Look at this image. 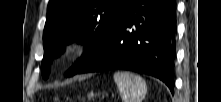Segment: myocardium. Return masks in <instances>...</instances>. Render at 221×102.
Wrapping results in <instances>:
<instances>
[{
  "mask_svg": "<svg viewBox=\"0 0 221 102\" xmlns=\"http://www.w3.org/2000/svg\"><path fill=\"white\" fill-rule=\"evenodd\" d=\"M89 48V42L82 37H75L69 40L65 46V53L70 58H79Z\"/></svg>",
  "mask_w": 221,
  "mask_h": 102,
  "instance_id": "1",
  "label": "myocardium"
}]
</instances>
